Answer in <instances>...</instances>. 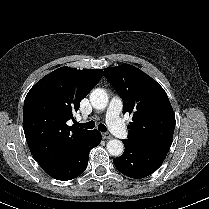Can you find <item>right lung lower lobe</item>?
<instances>
[{
    "label": "right lung lower lobe",
    "instance_id": "98d812e1",
    "mask_svg": "<svg viewBox=\"0 0 209 209\" xmlns=\"http://www.w3.org/2000/svg\"><path fill=\"white\" fill-rule=\"evenodd\" d=\"M101 142V133L92 130L78 145L73 154L54 172L49 174L57 180H71L82 174L88 163L89 151Z\"/></svg>",
    "mask_w": 209,
    "mask_h": 209
}]
</instances>
